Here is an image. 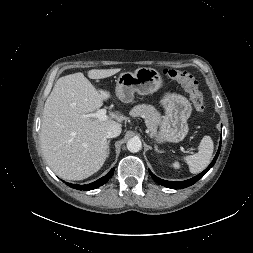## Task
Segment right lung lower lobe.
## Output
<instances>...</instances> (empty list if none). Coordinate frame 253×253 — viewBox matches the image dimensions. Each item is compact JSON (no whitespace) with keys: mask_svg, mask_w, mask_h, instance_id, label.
<instances>
[{"mask_svg":"<svg viewBox=\"0 0 253 253\" xmlns=\"http://www.w3.org/2000/svg\"><path fill=\"white\" fill-rule=\"evenodd\" d=\"M114 173V168L104 177L98 179L97 181L87 184V185H76V184H71V183H66L68 186L78 189V190H92L95 188H98L100 186H102L103 184H105L113 175Z\"/></svg>","mask_w":253,"mask_h":253,"instance_id":"obj_1","label":"right lung lower lobe"}]
</instances>
